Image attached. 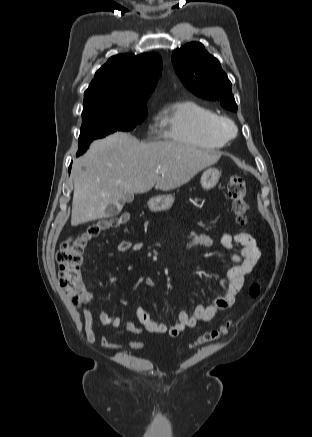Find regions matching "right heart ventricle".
Returning a JSON list of instances; mask_svg holds the SVG:
<instances>
[{
  "label": "right heart ventricle",
  "instance_id": "right-heart-ventricle-1",
  "mask_svg": "<svg viewBox=\"0 0 312 437\" xmlns=\"http://www.w3.org/2000/svg\"><path fill=\"white\" fill-rule=\"evenodd\" d=\"M216 112L193 100L172 104L159 119L161 137L171 143L204 149H220L227 140L213 132Z\"/></svg>",
  "mask_w": 312,
  "mask_h": 437
}]
</instances>
